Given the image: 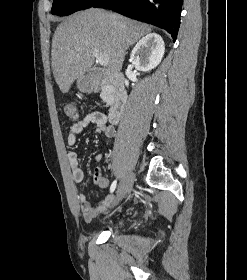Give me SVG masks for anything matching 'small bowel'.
<instances>
[{
  "instance_id": "1",
  "label": "small bowel",
  "mask_w": 247,
  "mask_h": 280,
  "mask_svg": "<svg viewBox=\"0 0 247 280\" xmlns=\"http://www.w3.org/2000/svg\"><path fill=\"white\" fill-rule=\"evenodd\" d=\"M89 125L93 126L95 133H102L107 138H113L115 135V129L112 125L108 123L107 117L101 112H92L82 117L81 119L75 121L71 127L67 136V144L70 147L75 146L77 135L82 132L83 129L87 128ZM102 155L97 154L95 160L100 162L102 160ZM68 161L72 173L73 180L77 183L81 182L84 178V173L76 152L71 151L68 154ZM94 183L100 188L106 189L109 185L108 179L103 175L102 170L97 167L94 170L93 175ZM79 207L81 209L82 215L85 221H92L98 215L107 211L115 203V199L108 196L97 203L95 207H92L87 200L85 194L80 193L77 196Z\"/></svg>"
}]
</instances>
